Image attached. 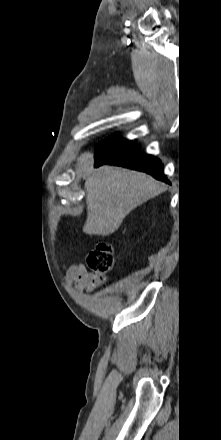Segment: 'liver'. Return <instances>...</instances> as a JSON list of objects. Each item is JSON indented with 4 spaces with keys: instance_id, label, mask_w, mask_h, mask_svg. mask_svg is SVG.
Listing matches in <instances>:
<instances>
[{
    "instance_id": "liver-1",
    "label": "liver",
    "mask_w": 221,
    "mask_h": 440,
    "mask_svg": "<svg viewBox=\"0 0 221 440\" xmlns=\"http://www.w3.org/2000/svg\"><path fill=\"white\" fill-rule=\"evenodd\" d=\"M94 157L86 152L77 159L85 178L88 235L108 236L138 205L158 195L165 187L144 173L112 166L93 167Z\"/></svg>"
}]
</instances>
